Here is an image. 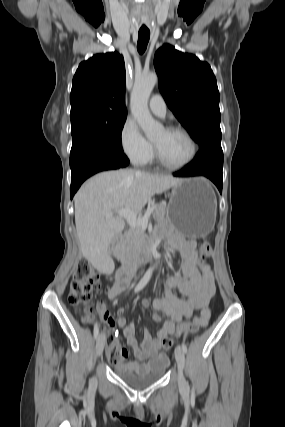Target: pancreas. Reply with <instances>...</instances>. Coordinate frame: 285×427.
I'll return each mask as SVG.
<instances>
[{"label":"pancreas","mask_w":285,"mask_h":427,"mask_svg":"<svg viewBox=\"0 0 285 427\" xmlns=\"http://www.w3.org/2000/svg\"><path fill=\"white\" fill-rule=\"evenodd\" d=\"M154 208L152 215L153 218L158 223H166V205L162 203H155L152 205ZM146 239V234L144 229L141 227H130L125 234V239L123 241L124 247H126L130 253H133L144 243Z\"/></svg>","instance_id":"cf45deb5"}]
</instances>
